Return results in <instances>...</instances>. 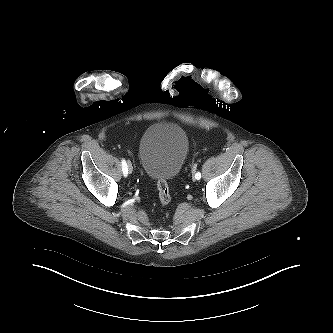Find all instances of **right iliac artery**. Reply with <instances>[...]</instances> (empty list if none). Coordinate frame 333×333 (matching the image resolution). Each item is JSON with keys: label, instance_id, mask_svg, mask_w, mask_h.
I'll list each match as a JSON object with an SVG mask.
<instances>
[{"label": "right iliac artery", "instance_id": "obj_1", "mask_svg": "<svg viewBox=\"0 0 333 333\" xmlns=\"http://www.w3.org/2000/svg\"><path fill=\"white\" fill-rule=\"evenodd\" d=\"M122 171H123L124 176H127L128 166H127V163L124 159H122Z\"/></svg>", "mask_w": 333, "mask_h": 333}]
</instances>
